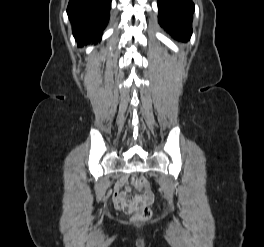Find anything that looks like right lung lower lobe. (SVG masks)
Segmentation results:
<instances>
[{"mask_svg": "<svg viewBox=\"0 0 264 247\" xmlns=\"http://www.w3.org/2000/svg\"><path fill=\"white\" fill-rule=\"evenodd\" d=\"M110 8L111 0H69L67 14L78 45L101 40Z\"/></svg>", "mask_w": 264, "mask_h": 247, "instance_id": "98d812e1", "label": "right lung lower lobe"}]
</instances>
